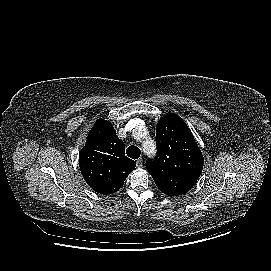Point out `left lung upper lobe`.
Masks as SVG:
<instances>
[{
	"mask_svg": "<svg viewBox=\"0 0 271 271\" xmlns=\"http://www.w3.org/2000/svg\"><path fill=\"white\" fill-rule=\"evenodd\" d=\"M157 156L147 160L146 168L157 187L176 196L177 181L195 184L203 169V155L186 123L173 113L156 126Z\"/></svg>",
	"mask_w": 271,
	"mask_h": 271,
	"instance_id": "left-lung-upper-lobe-1",
	"label": "left lung upper lobe"
}]
</instances>
